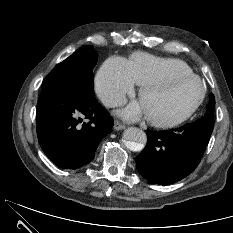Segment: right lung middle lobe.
Instances as JSON below:
<instances>
[{"label": "right lung middle lobe", "mask_w": 233, "mask_h": 233, "mask_svg": "<svg viewBox=\"0 0 233 233\" xmlns=\"http://www.w3.org/2000/svg\"><path fill=\"white\" fill-rule=\"evenodd\" d=\"M97 59V53L92 46H82L46 76L42 88H62L94 95L92 72Z\"/></svg>", "instance_id": "obj_1"}]
</instances>
